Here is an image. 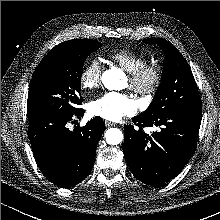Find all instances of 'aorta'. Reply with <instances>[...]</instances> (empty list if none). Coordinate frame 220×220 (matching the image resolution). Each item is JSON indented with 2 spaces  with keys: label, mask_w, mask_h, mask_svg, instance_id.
<instances>
[{
  "label": "aorta",
  "mask_w": 220,
  "mask_h": 220,
  "mask_svg": "<svg viewBox=\"0 0 220 220\" xmlns=\"http://www.w3.org/2000/svg\"><path fill=\"white\" fill-rule=\"evenodd\" d=\"M124 73L120 69L112 68L104 71L101 80L108 90H119L124 82ZM106 142L110 145H117L123 141V133L118 128H110L105 133Z\"/></svg>",
  "instance_id": "obj_1"
}]
</instances>
